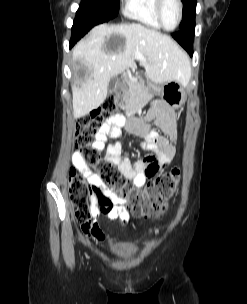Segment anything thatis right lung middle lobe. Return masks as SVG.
<instances>
[{"label":"right lung middle lobe","instance_id":"dd1d6c3e","mask_svg":"<svg viewBox=\"0 0 247 304\" xmlns=\"http://www.w3.org/2000/svg\"><path fill=\"white\" fill-rule=\"evenodd\" d=\"M119 10V0H82L76 13L78 17L113 19Z\"/></svg>","mask_w":247,"mask_h":304}]
</instances>
